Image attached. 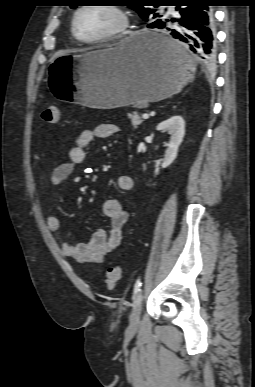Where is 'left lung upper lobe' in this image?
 I'll return each mask as SVG.
<instances>
[{"label":"left lung upper lobe","instance_id":"obj_1","mask_svg":"<svg viewBox=\"0 0 255 387\" xmlns=\"http://www.w3.org/2000/svg\"><path fill=\"white\" fill-rule=\"evenodd\" d=\"M174 0H125L124 2L127 4L129 8L134 9L140 15V17L147 23L150 24L156 21L158 18L162 17L158 12V7L161 5H168ZM151 4L155 8H148L144 5ZM75 8L76 6H71Z\"/></svg>","mask_w":255,"mask_h":387}]
</instances>
